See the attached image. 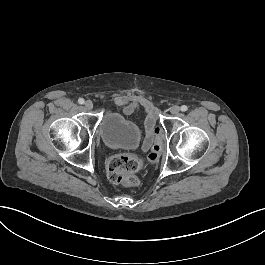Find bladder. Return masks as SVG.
<instances>
[{"mask_svg": "<svg viewBox=\"0 0 265 265\" xmlns=\"http://www.w3.org/2000/svg\"><path fill=\"white\" fill-rule=\"evenodd\" d=\"M99 134L103 142L113 149L133 148L140 139L138 126L113 110H107L103 114L99 124Z\"/></svg>", "mask_w": 265, "mask_h": 265, "instance_id": "1", "label": "bladder"}]
</instances>
